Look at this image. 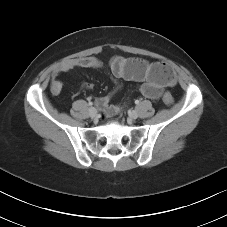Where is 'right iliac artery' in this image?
I'll return each mask as SVG.
<instances>
[{"mask_svg": "<svg viewBox=\"0 0 227 227\" xmlns=\"http://www.w3.org/2000/svg\"><path fill=\"white\" fill-rule=\"evenodd\" d=\"M89 105H90V106H92V105H93V103H92V102H89ZM91 108H93V107H91Z\"/></svg>", "mask_w": 227, "mask_h": 227, "instance_id": "right-iliac-artery-1", "label": "right iliac artery"}]
</instances>
